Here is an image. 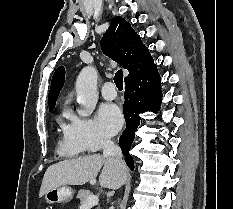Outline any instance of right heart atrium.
<instances>
[{
  "instance_id": "1",
  "label": "right heart atrium",
  "mask_w": 233,
  "mask_h": 209,
  "mask_svg": "<svg viewBox=\"0 0 233 209\" xmlns=\"http://www.w3.org/2000/svg\"><path fill=\"white\" fill-rule=\"evenodd\" d=\"M68 139L85 151H98L109 145L111 140L102 134L92 119L72 115L66 129Z\"/></svg>"
}]
</instances>
